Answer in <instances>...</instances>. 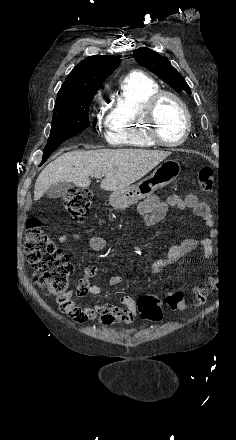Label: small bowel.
Listing matches in <instances>:
<instances>
[{
  "instance_id": "1",
  "label": "small bowel",
  "mask_w": 236,
  "mask_h": 440,
  "mask_svg": "<svg viewBox=\"0 0 236 440\" xmlns=\"http://www.w3.org/2000/svg\"><path fill=\"white\" fill-rule=\"evenodd\" d=\"M169 207H175L180 210L191 209L200 217L205 225L210 229V234L214 235V224L207 204L199 201L196 195L189 194L185 197L172 195L167 201H161L156 195H149L138 204V212L144 219L147 226L151 227L161 222ZM85 238L77 233L66 232L59 237L61 244L81 243ZM88 245L92 251L100 252L106 247V241L100 236H90L87 238ZM199 242L193 238H187L180 243L173 245L166 257L154 262L151 265V271L161 273L169 266L177 263L185 255L193 251ZM203 245L207 247L208 241ZM96 266H88L83 276L79 279L74 296L82 298L88 294L98 295L103 292L104 287L95 285L91 279L97 275ZM123 278L119 274H114L108 278L107 286H116L122 282ZM73 297V295H72ZM120 307L111 303H95L92 306H78L73 301L62 309L64 313L78 322L97 320L101 325L109 327L116 323L129 325L136 318L138 313L137 300L131 295H124L120 298Z\"/></svg>"
}]
</instances>
